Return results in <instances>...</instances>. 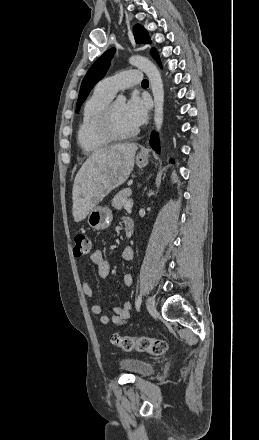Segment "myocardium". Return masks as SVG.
<instances>
[{
	"instance_id": "1",
	"label": "myocardium",
	"mask_w": 259,
	"mask_h": 440,
	"mask_svg": "<svg viewBox=\"0 0 259 440\" xmlns=\"http://www.w3.org/2000/svg\"><path fill=\"white\" fill-rule=\"evenodd\" d=\"M114 103L115 102H110L103 112L99 125L100 133L111 142L123 141L133 138L138 134V128H135L134 130L129 132H120L117 129L114 120Z\"/></svg>"
}]
</instances>
